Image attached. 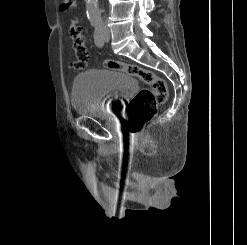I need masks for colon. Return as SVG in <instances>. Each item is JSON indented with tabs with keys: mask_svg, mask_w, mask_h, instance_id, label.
<instances>
[{
	"mask_svg": "<svg viewBox=\"0 0 247 245\" xmlns=\"http://www.w3.org/2000/svg\"><path fill=\"white\" fill-rule=\"evenodd\" d=\"M75 0H63L62 8L72 10ZM69 36L73 40L76 61L71 64L74 71H82L89 61L88 49L83 41V36L75 30H69ZM104 66L108 69L124 72L140 79L148 88H142L131 99L128 106V127L133 133H137L151 121L157 114L159 106L168 98L166 81L155 72L142 68L135 64H127L115 60H105Z\"/></svg>",
	"mask_w": 247,
	"mask_h": 245,
	"instance_id": "colon-1",
	"label": "colon"
}]
</instances>
